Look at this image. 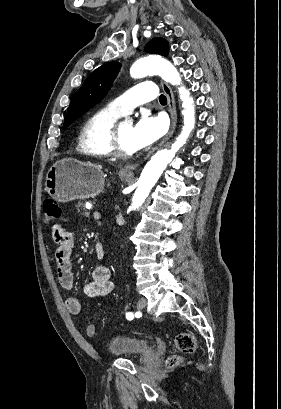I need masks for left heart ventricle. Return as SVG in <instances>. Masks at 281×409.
<instances>
[{
    "mask_svg": "<svg viewBox=\"0 0 281 409\" xmlns=\"http://www.w3.org/2000/svg\"><path fill=\"white\" fill-rule=\"evenodd\" d=\"M133 129L130 123L123 122L119 130V145L123 150H137L133 142Z\"/></svg>",
    "mask_w": 281,
    "mask_h": 409,
    "instance_id": "left-heart-ventricle-1",
    "label": "left heart ventricle"
}]
</instances>
